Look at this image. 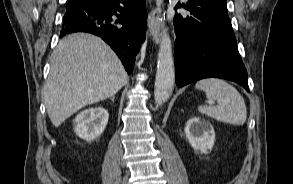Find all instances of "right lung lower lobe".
<instances>
[{
	"mask_svg": "<svg viewBox=\"0 0 293 184\" xmlns=\"http://www.w3.org/2000/svg\"><path fill=\"white\" fill-rule=\"evenodd\" d=\"M147 13L144 0H86L67 9L60 37L84 31L100 36L131 74L144 41Z\"/></svg>",
	"mask_w": 293,
	"mask_h": 184,
	"instance_id": "98d812e1",
	"label": "right lung lower lobe"
}]
</instances>
